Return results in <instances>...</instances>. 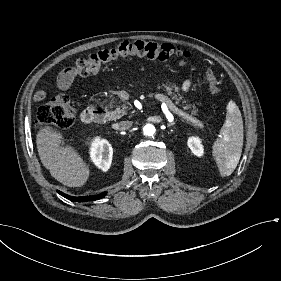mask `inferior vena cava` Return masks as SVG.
Here are the masks:
<instances>
[{"instance_id": "602c4592", "label": "inferior vena cava", "mask_w": 281, "mask_h": 281, "mask_svg": "<svg viewBox=\"0 0 281 281\" xmlns=\"http://www.w3.org/2000/svg\"><path fill=\"white\" fill-rule=\"evenodd\" d=\"M131 127L129 122H120L118 123V130H128Z\"/></svg>"}]
</instances>
